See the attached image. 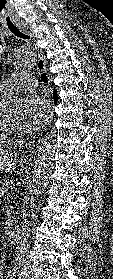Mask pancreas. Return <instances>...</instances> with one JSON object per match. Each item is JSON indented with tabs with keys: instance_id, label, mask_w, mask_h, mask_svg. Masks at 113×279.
<instances>
[{
	"instance_id": "obj_1",
	"label": "pancreas",
	"mask_w": 113,
	"mask_h": 279,
	"mask_svg": "<svg viewBox=\"0 0 113 279\" xmlns=\"http://www.w3.org/2000/svg\"><path fill=\"white\" fill-rule=\"evenodd\" d=\"M11 187L10 182H8L7 180H5L3 182V185L0 187V197L4 196L5 194H7L8 189Z\"/></svg>"
}]
</instances>
